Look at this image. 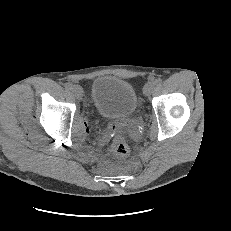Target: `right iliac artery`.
Returning <instances> with one entry per match:
<instances>
[{"label":"right iliac artery","mask_w":231,"mask_h":231,"mask_svg":"<svg viewBox=\"0 0 231 231\" xmlns=\"http://www.w3.org/2000/svg\"><path fill=\"white\" fill-rule=\"evenodd\" d=\"M65 88L66 89H71L72 88V84L71 83H65Z\"/></svg>","instance_id":"obj_1"}]
</instances>
